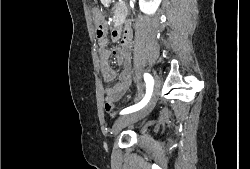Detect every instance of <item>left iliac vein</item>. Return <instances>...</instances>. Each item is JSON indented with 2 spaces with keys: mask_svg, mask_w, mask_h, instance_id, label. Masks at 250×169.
I'll list each match as a JSON object with an SVG mask.
<instances>
[{
  "mask_svg": "<svg viewBox=\"0 0 250 169\" xmlns=\"http://www.w3.org/2000/svg\"><path fill=\"white\" fill-rule=\"evenodd\" d=\"M160 88H161L160 78L158 75H155L153 92L148 103L140 110L133 112V113L122 115L118 119H116V121L114 122V126H113V133L117 135L119 131L125 126L145 117L155 106L156 100L160 93Z\"/></svg>",
  "mask_w": 250,
  "mask_h": 169,
  "instance_id": "4c4485c4",
  "label": "left iliac vein"
}]
</instances>
